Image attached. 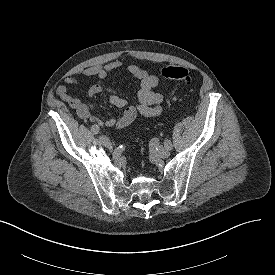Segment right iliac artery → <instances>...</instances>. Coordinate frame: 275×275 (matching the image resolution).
I'll return each mask as SVG.
<instances>
[{"label":"right iliac artery","instance_id":"82829eb1","mask_svg":"<svg viewBox=\"0 0 275 275\" xmlns=\"http://www.w3.org/2000/svg\"><path fill=\"white\" fill-rule=\"evenodd\" d=\"M99 131H100V127H99L98 125L94 124V125L91 127V132H92L93 134H98Z\"/></svg>","mask_w":275,"mask_h":275}]
</instances>
